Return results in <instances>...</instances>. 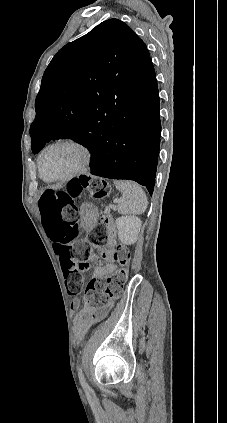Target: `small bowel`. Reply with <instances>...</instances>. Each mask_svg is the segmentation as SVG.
I'll return each mask as SVG.
<instances>
[{"mask_svg": "<svg viewBox=\"0 0 227 423\" xmlns=\"http://www.w3.org/2000/svg\"><path fill=\"white\" fill-rule=\"evenodd\" d=\"M53 248L56 252L57 246L55 242H53ZM101 255L107 261V264L102 267H97L94 270V276L96 278L106 277L107 275L112 274L116 270V266L112 258L111 244L101 250ZM79 306L80 302L78 299H73L70 303V308L74 311L78 310ZM111 307L112 302H109L98 311L78 313L74 317V332L77 340H83L86 334L88 333L90 327L98 321L102 320L108 314Z\"/></svg>", "mask_w": 227, "mask_h": 423, "instance_id": "1", "label": "small bowel"}]
</instances>
